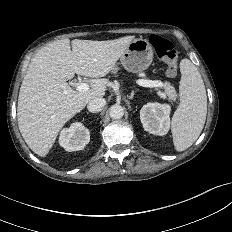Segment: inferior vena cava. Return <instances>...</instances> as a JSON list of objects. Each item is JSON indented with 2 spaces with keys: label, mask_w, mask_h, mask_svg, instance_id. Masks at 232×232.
Listing matches in <instances>:
<instances>
[{
  "label": "inferior vena cava",
  "mask_w": 232,
  "mask_h": 232,
  "mask_svg": "<svg viewBox=\"0 0 232 232\" xmlns=\"http://www.w3.org/2000/svg\"><path fill=\"white\" fill-rule=\"evenodd\" d=\"M106 105V100L102 97H96L89 101L87 109L90 112L97 113L100 112Z\"/></svg>",
  "instance_id": "1"
}]
</instances>
